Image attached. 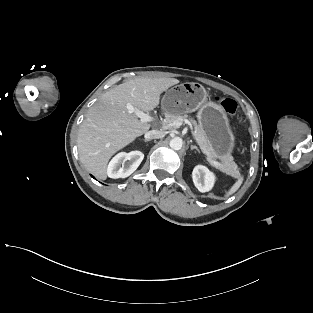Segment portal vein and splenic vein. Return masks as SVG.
<instances>
[{
  "mask_svg": "<svg viewBox=\"0 0 313 313\" xmlns=\"http://www.w3.org/2000/svg\"><path fill=\"white\" fill-rule=\"evenodd\" d=\"M127 109H128L129 113H135L140 118V121L142 123H144V122L157 123V120L153 116L149 115L148 113H144L143 111L135 109L131 104H127ZM183 123L187 124L190 127V129L192 130V124L187 119L176 120V121H174L168 125H164V128H169V127L179 128ZM192 134H193L194 138L196 139L195 133L193 131H192ZM207 161L211 164L215 163L212 160H210L209 158H207Z\"/></svg>",
  "mask_w": 313,
  "mask_h": 313,
  "instance_id": "obj_1",
  "label": "portal vein and splenic vein"
}]
</instances>
